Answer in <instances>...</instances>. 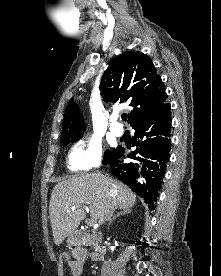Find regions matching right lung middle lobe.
I'll return each mask as SVG.
<instances>
[{
	"label": "right lung middle lobe",
	"instance_id": "right-lung-middle-lobe-1",
	"mask_svg": "<svg viewBox=\"0 0 221 276\" xmlns=\"http://www.w3.org/2000/svg\"><path fill=\"white\" fill-rule=\"evenodd\" d=\"M80 137H77V138H74V139H71V141H77L79 140ZM70 142V140H66V141H61V144L66 146L68 143ZM115 150H107L104 154V158H103V163L105 164L112 156L113 154L115 153Z\"/></svg>",
	"mask_w": 221,
	"mask_h": 276
}]
</instances>
